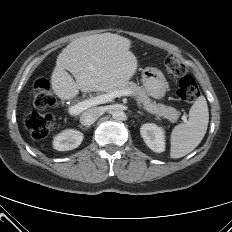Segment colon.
<instances>
[{
    "label": "colon",
    "instance_id": "1",
    "mask_svg": "<svg viewBox=\"0 0 232 232\" xmlns=\"http://www.w3.org/2000/svg\"><path fill=\"white\" fill-rule=\"evenodd\" d=\"M166 73L171 78L180 77L177 96L185 102H194L200 96L199 87L195 79L186 74V66L174 55L164 58ZM34 109L25 118L26 129L34 139L45 138L55 126V119L50 114L42 113L45 109L56 104V98L51 92L47 80L39 79L33 86Z\"/></svg>",
    "mask_w": 232,
    "mask_h": 232
}]
</instances>
